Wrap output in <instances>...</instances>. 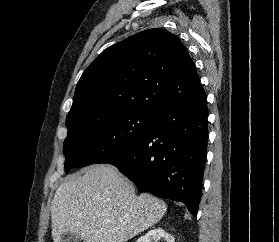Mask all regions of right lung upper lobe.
Here are the masks:
<instances>
[{
	"label": "right lung upper lobe",
	"mask_w": 279,
	"mask_h": 242,
	"mask_svg": "<svg viewBox=\"0 0 279 242\" xmlns=\"http://www.w3.org/2000/svg\"><path fill=\"white\" fill-rule=\"evenodd\" d=\"M203 92L180 39L164 29H149L111 46L87 67L67 121L123 109L155 113Z\"/></svg>",
	"instance_id": "1"
}]
</instances>
